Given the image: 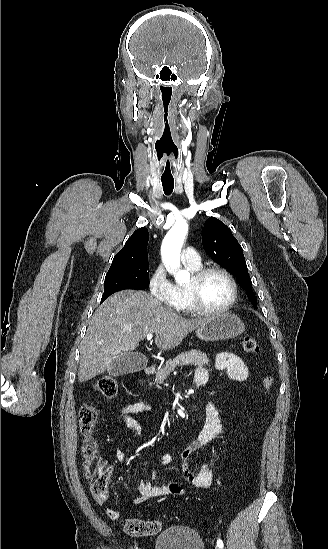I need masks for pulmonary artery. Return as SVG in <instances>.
<instances>
[{
	"mask_svg": "<svg viewBox=\"0 0 328 549\" xmlns=\"http://www.w3.org/2000/svg\"><path fill=\"white\" fill-rule=\"evenodd\" d=\"M199 250L197 247H187L182 252V259L186 262H198L200 260Z\"/></svg>",
	"mask_w": 328,
	"mask_h": 549,
	"instance_id": "e3ab8cb5",
	"label": "pulmonary artery"
}]
</instances>
